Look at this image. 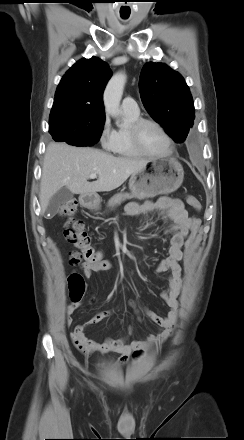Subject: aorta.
Instances as JSON below:
<instances>
[{
	"label": "aorta",
	"mask_w": 244,
	"mask_h": 440,
	"mask_svg": "<svg viewBox=\"0 0 244 440\" xmlns=\"http://www.w3.org/2000/svg\"><path fill=\"white\" fill-rule=\"evenodd\" d=\"M126 75L119 72L109 80L104 91V106L107 114L118 118L121 115L120 101L122 98Z\"/></svg>",
	"instance_id": "762f6f07"
}]
</instances>
